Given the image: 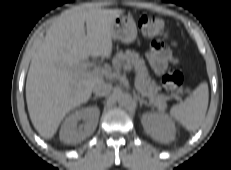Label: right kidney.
Returning <instances> with one entry per match:
<instances>
[{
	"instance_id": "obj_1",
	"label": "right kidney",
	"mask_w": 231,
	"mask_h": 170,
	"mask_svg": "<svg viewBox=\"0 0 231 170\" xmlns=\"http://www.w3.org/2000/svg\"><path fill=\"white\" fill-rule=\"evenodd\" d=\"M100 110L98 107H87L76 110L63 122L60 130V140L66 144H76L89 137L96 129ZM85 124L77 127L80 120Z\"/></svg>"
}]
</instances>
